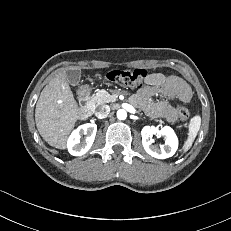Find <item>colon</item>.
Returning a JSON list of instances; mask_svg holds the SVG:
<instances>
[{
  "mask_svg": "<svg viewBox=\"0 0 231 231\" xmlns=\"http://www.w3.org/2000/svg\"><path fill=\"white\" fill-rule=\"evenodd\" d=\"M149 75L145 69L113 70L105 75V79L125 87L140 88L147 83ZM178 115L182 122H186L190 117V112L186 107L179 106Z\"/></svg>",
  "mask_w": 231,
  "mask_h": 231,
  "instance_id": "1",
  "label": "colon"
}]
</instances>
